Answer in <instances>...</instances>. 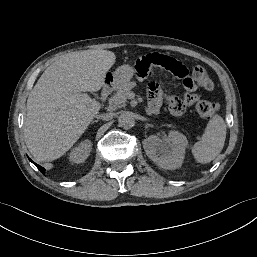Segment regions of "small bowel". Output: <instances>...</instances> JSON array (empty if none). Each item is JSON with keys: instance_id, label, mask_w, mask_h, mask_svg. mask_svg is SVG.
<instances>
[{"instance_id": "c3829d8e", "label": "small bowel", "mask_w": 257, "mask_h": 257, "mask_svg": "<svg viewBox=\"0 0 257 257\" xmlns=\"http://www.w3.org/2000/svg\"><path fill=\"white\" fill-rule=\"evenodd\" d=\"M133 79L138 84H144L156 76H164L169 80L182 79V97H175V92L166 86H149L148 110L151 114L158 113L162 103L168 102L171 113L174 116H182L192 106L197 95L194 93L196 73L184 66L175 57L161 55L160 53H146L135 58L133 62Z\"/></svg>"}]
</instances>
